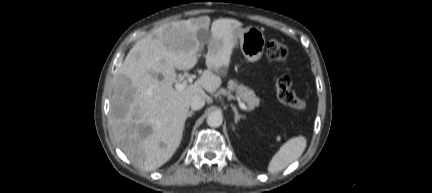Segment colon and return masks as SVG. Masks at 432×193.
<instances>
[{"label":"colon","mask_w":432,"mask_h":193,"mask_svg":"<svg viewBox=\"0 0 432 193\" xmlns=\"http://www.w3.org/2000/svg\"><path fill=\"white\" fill-rule=\"evenodd\" d=\"M267 56L270 60L284 63L288 57L287 47L279 40L272 39L267 44ZM278 100L293 109L304 110L307 107L305 99L297 96L292 89V80L287 73H282L276 80Z\"/></svg>","instance_id":"colon-1"}]
</instances>
